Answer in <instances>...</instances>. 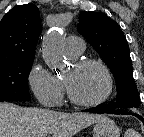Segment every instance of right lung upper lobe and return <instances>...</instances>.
Segmentation results:
<instances>
[{
    "label": "right lung upper lobe",
    "mask_w": 144,
    "mask_h": 137,
    "mask_svg": "<svg viewBox=\"0 0 144 137\" xmlns=\"http://www.w3.org/2000/svg\"><path fill=\"white\" fill-rule=\"evenodd\" d=\"M41 29L34 4L11 9L0 22V62L34 58Z\"/></svg>",
    "instance_id": "obj_1"
}]
</instances>
